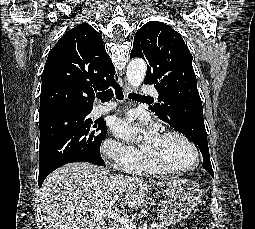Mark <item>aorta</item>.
<instances>
[{
  "mask_svg": "<svg viewBox=\"0 0 255 229\" xmlns=\"http://www.w3.org/2000/svg\"><path fill=\"white\" fill-rule=\"evenodd\" d=\"M146 63L142 59H133L127 65V79L132 87H139L146 75Z\"/></svg>",
  "mask_w": 255,
  "mask_h": 229,
  "instance_id": "obj_1",
  "label": "aorta"
}]
</instances>
